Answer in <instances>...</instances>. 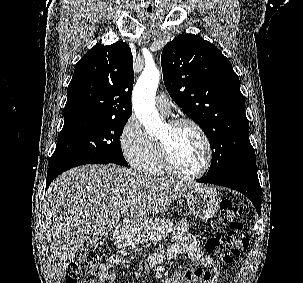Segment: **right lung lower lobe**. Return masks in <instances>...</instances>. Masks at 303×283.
<instances>
[{
  "label": "right lung lower lobe",
  "mask_w": 303,
  "mask_h": 283,
  "mask_svg": "<svg viewBox=\"0 0 303 283\" xmlns=\"http://www.w3.org/2000/svg\"><path fill=\"white\" fill-rule=\"evenodd\" d=\"M91 163H100V164H108L111 162H106V161H79V162H70V163H63V164H58L54 166H49L48 172H47V182H46V190L49 187L50 183L53 181L55 177H57L59 174L62 172L79 166L83 164H91Z\"/></svg>",
  "instance_id": "right-lung-lower-lobe-1"
}]
</instances>
